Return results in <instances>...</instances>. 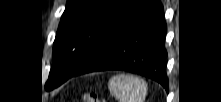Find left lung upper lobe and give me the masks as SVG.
Returning <instances> with one entry per match:
<instances>
[{"label":"left lung upper lobe","mask_w":221,"mask_h":102,"mask_svg":"<svg viewBox=\"0 0 221 102\" xmlns=\"http://www.w3.org/2000/svg\"><path fill=\"white\" fill-rule=\"evenodd\" d=\"M136 0H68L45 84L52 90L76 72Z\"/></svg>","instance_id":"obj_1"}]
</instances>
